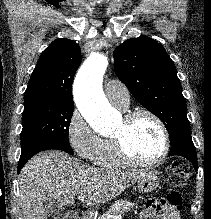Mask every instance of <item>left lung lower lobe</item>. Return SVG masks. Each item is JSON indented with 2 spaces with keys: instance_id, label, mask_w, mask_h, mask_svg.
Instances as JSON below:
<instances>
[{
  "instance_id": "0a47b994",
  "label": "left lung lower lobe",
  "mask_w": 211,
  "mask_h": 219,
  "mask_svg": "<svg viewBox=\"0 0 211 219\" xmlns=\"http://www.w3.org/2000/svg\"><path fill=\"white\" fill-rule=\"evenodd\" d=\"M170 144L171 150L168 156H182L192 163L196 171L198 170L197 154L192 141L191 132L178 135Z\"/></svg>"
}]
</instances>
